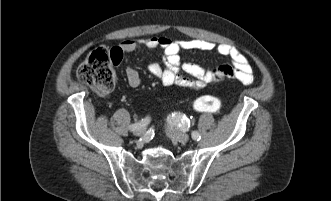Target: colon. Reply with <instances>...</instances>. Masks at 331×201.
Returning <instances> with one entry per match:
<instances>
[{
    "label": "colon",
    "mask_w": 331,
    "mask_h": 201,
    "mask_svg": "<svg viewBox=\"0 0 331 201\" xmlns=\"http://www.w3.org/2000/svg\"><path fill=\"white\" fill-rule=\"evenodd\" d=\"M115 59L113 53L96 48L77 69V78L99 95L109 94L115 86ZM222 100L213 95H205L193 102L196 111L216 113L222 109Z\"/></svg>",
    "instance_id": "obj_1"
}]
</instances>
